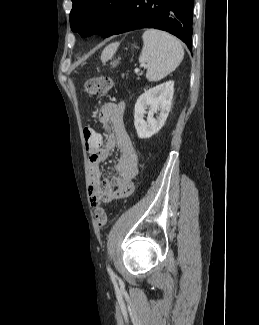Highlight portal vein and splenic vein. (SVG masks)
<instances>
[{
	"label": "portal vein and splenic vein",
	"mask_w": 259,
	"mask_h": 325,
	"mask_svg": "<svg viewBox=\"0 0 259 325\" xmlns=\"http://www.w3.org/2000/svg\"><path fill=\"white\" fill-rule=\"evenodd\" d=\"M140 67H144V68H146V67H147V65H145V64H142Z\"/></svg>",
	"instance_id": "portal-vein-and-splenic-vein-1"
}]
</instances>
